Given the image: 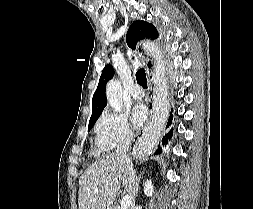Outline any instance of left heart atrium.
I'll return each mask as SVG.
<instances>
[{
	"mask_svg": "<svg viewBox=\"0 0 253 209\" xmlns=\"http://www.w3.org/2000/svg\"><path fill=\"white\" fill-rule=\"evenodd\" d=\"M147 119V109L143 104H138L134 107L131 120L134 126H141Z\"/></svg>",
	"mask_w": 253,
	"mask_h": 209,
	"instance_id": "left-heart-atrium-1",
	"label": "left heart atrium"
}]
</instances>
